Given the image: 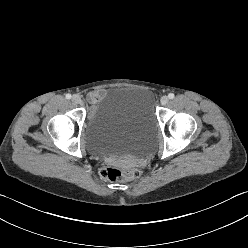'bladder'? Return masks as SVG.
<instances>
[{"label":"bladder","mask_w":248,"mask_h":248,"mask_svg":"<svg viewBox=\"0 0 248 248\" xmlns=\"http://www.w3.org/2000/svg\"><path fill=\"white\" fill-rule=\"evenodd\" d=\"M88 142L92 151L109 156H142L154 144L156 117L149 92L115 88L91 113Z\"/></svg>","instance_id":"1"}]
</instances>
